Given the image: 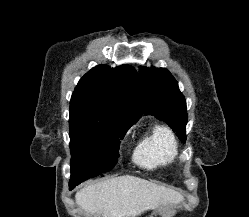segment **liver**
I'll use <instances>...</instances> for the list:
<instances>
[{"instance_id":"6515ba94","label":"liver","mask_w":249,"mask_h":217,"mask_svg":"<svg viewBox=\"0 0 249 217\" xmlns=\"http://www.w3.org/2000/svg\"><path fill=\"white\" fill-rule=\"evenodd\" d=\"M75 199L78 206L99 217H136L160 204H177L183 196L172 189L126 175L87 185L77 191Z\"/></svg>"}]
</instances>
